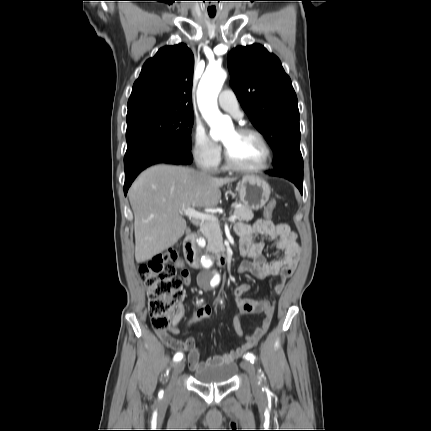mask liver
<instances>
[{"label":"liver","mask_w":431,"mask_h":431,"mask_svg":"<svg viewBox=\"0 0 431 431\" xmlns=\"http://www.w3.org/2000/svg\"><path fill=\"white\" fill-rule=\"evenodd\" d=\"M235 180L165 164L142 172L128 192L134 213L136 261L150 260L177 243L187 227L181 211L217 206L219 188Z\"/></svg>","instance_id":"liver-1"}]
</instances>
